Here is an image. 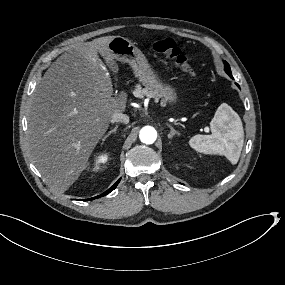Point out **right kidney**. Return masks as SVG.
I'll use <instances>...</instances> for the list:
<instances>
[{
    "instance_id": "obj_1",
    "label": "right kidney",
    "mask_w": 285,
    "mask_h": 285,
    "mask_svg": "<svg viewBox=\"0 0 285 285\" xmlns=\"http://www.w3.org/2000/svg\"><path fill=\"white\" fill-rule=\"evenodd\" d=\"M106 161H107V156L106 155H101L98 158H96V162L98 164L105 163Z\"/></svg>"
}]
</instances>
